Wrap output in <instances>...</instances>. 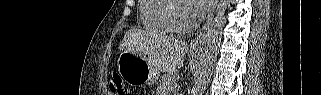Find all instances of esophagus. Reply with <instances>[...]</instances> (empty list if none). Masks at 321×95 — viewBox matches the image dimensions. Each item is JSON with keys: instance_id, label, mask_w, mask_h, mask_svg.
Returning <instances> with one entry per match:
<instances>
[{"instance_id": "1", "label": "esophagus", "mask_w": 321, "mask_h": 95, "mask_svg": "<svg viewBox=\"0 0 321 95\" xmlns=\"http://www.w3.org/2000/svg\"><path fill=\"white\" fill-rule=\"evenodd\" d=\"M218 1L216 0L214 2V5L211 9V12L210 14L208 15V18L205 22V24L203 25V27L201 28V30L199 31V33L197 34V36L192 40L190 46L191 47H201L203 41H204V38H205V35H206V32L212 22V19L214 17V13H215V8H216V5H217Z\"/></svg>"}]
</instances>
